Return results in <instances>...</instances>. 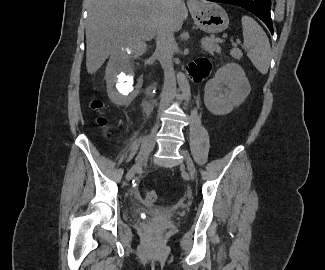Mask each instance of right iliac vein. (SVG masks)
<instances>
[{"instance_id": "right-iliac-vein-1", "label": "right iliac vein", "mask_w": 325, "mask_h": 270, "mask_svg": "<svg viewBox=\"0 0 325 270\" xmlns=\"http://www.w3.org/2000/svg\"><path fill=\"white\" fill-rule=\"evenodd\" d=\"M157 131H158V126H155L146 140V147L144 151L136 158L135 164L128 171L126 175L127 180H131L133 178L136 171L140 168L141 164L147 159L148 155L153 150L155 146Z\"/></svg>"}]
</instances>
